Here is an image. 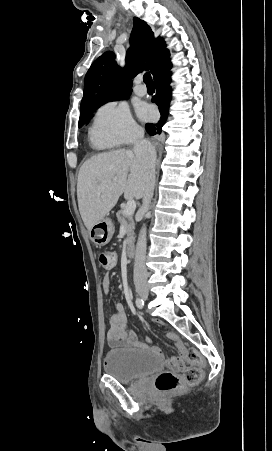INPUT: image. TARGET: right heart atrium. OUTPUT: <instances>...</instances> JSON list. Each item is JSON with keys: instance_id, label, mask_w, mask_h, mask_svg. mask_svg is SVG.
I'll use <instances>...</instances> for the list:
<instances>
[{"instance_id": "d8ad5b80", "label": "right heart atrium", "mask_w": 272, "mask_h": 451, "mask_svg": "<svg viewBox=\"0 0 272 451\" xmlns=\"http://www.w3.org/2000/svg\"><path fill=\"white\" fill-rule=\"evenodd\" d=\"M137 124L122 104L109 103L101 107L91 127L95 144H126L137 133Z\"/></svg>"}]
</instances>
